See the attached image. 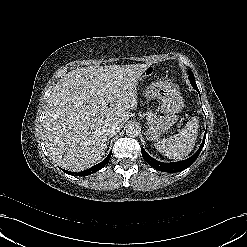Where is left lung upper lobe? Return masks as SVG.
I'll return each mask as SVG.
<instances>
[{"label": "left lung upper lobe", "mask_w": 247, "mask_h": 247, "mask_svg": "<svg viewBox=\"0 0 247 247\" xmlns=\"http://www.w3.org/2000/svg\"><path fill=\"white\" fill-rule=\"evenodd\" d=\"M188 74H189V80H190V82L191 81H195V77H194L192 71H188Z\"/></svg>", "instance_id": "left-lung-upper-lobe-1"}]
</instances>
